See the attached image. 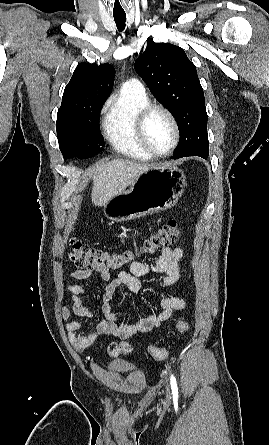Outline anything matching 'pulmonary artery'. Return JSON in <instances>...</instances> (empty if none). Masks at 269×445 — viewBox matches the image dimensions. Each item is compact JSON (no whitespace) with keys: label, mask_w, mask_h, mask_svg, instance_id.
<instances>
[{"label":"pulmonary artery","mask_w":269,"mask_h":445,"mask_svg":"<svg viewBox=\"0 0 269 445\" xmlns=\"http://www.w3.org/2000/svg\"><path fill=\"white\" fill-rule=\"evenodd\" d=\"M123 87L133 89L139 92H145L143 85L137 79H129L124 82Z\"/></svg>","instance_id":"e3ab8cb5"}]
</instances>
